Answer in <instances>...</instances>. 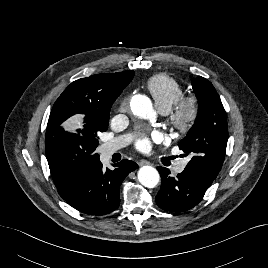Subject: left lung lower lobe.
Returning <instances> with one entry per match:
<instances>
[{"label":"left lung lower lobe","instance_id":"1","mask_svg":"<svg viewBox=\"0 0 268 268\" xmlns=\"http://www.w3.org/2000/svg\"><path fill=\"white\" fill-rule=\"evenodd\" d=\"M157 169L162 183L155 199L157 205L166 211L183 212L193 208L203 199L212 183L188 169H184L176 177H171L167 168Z\"/></svg>","mask_w":268,"mask_h":268}]
</instances>
